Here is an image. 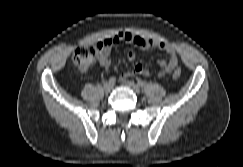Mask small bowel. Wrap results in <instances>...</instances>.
Listing matches in <instances>:
<instances>
[{
  "mask_svg": "<svg viewBox=\"0 0 243 167\" xmlns=\"http://www.w3.org/2000/svg\"><path fill=\"white\" fill-rule=\"evenodd\" d=\"M120 42H128L135 45L139 50L145 51L152 48H157L167 53V57L159 60L157 64L161 67V70L158 72V76L163 77L170 74L178 64V56L173 46L170 44L154 40L148 37L135 35L131 32L122 31L115 34L113 37L105 39L102 43V47L97 54V59L101 67L108 69L111 65L110 53L114 45ZM137 55L134 51H128L126 53V58L129 61H134ZM140 74L148 75L149 70L145 68L142 64L138 63L134 66V69L130 72L123 74L120 77L121 81H125L128 77Z\"/></svg>",
  "mask_w": 243,
  "mask_h": 167,
  "instance_id": "c3829d8e",
  "label": "small bowel"
}]
</instances>
